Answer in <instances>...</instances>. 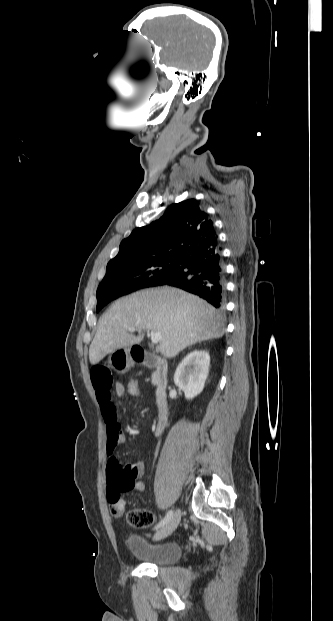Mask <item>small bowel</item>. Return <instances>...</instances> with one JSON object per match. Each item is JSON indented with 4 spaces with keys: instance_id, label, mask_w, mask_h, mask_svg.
<instances>
[{
    "instance_id": "1",
    "label": "small bowel",
    "mask_w": 333,
    "mask_h": 621,
    "mask_svg": "<svg viewBox=\"0 0 333 621\" xmlns=\"http://www.w3.org/2000/svg\"><path fill=\"white\" fill-rule=\"evenodd\" d=\"M92 383L96 392V396L101 408L102 417L106 425L107 433V446L106 453L109 463L117 461L116 448L126 441V435L122 432L119 418L117 414L116 406L112 398V375L109 368L103 364H96L92 370ZM114 394L118 397L125 395L124 384L121 382L116 383L114 387ZM107 466V469H108ZM145 464L143 461H137L125 466V469L130 472V475L134 479L133 489L141 491L144 485L139 481L144 472ZM107 498L109 506L116 502H119L125 506V501L122 498V492L116 490L109 485L107 491Z\"/></svg>"
}]
</instances>
